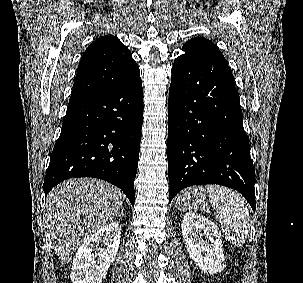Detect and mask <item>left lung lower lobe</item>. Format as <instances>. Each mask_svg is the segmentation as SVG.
Returning <instances> with one entry per match:
<instances>
[{"instance_id": "obj_1", "label": "left lung lower lobe", "mask_w": 303, "mask_h": 283, "mask_svg": "<svg viewBox=\"0 0 303 283\" xmlns=\"http://www.w3.org/2000/svg\"><path fill=\"white\" fill-rule=\"evenodd\" d=\"M239 94L222 54L181 55L169 90V202L192 185L240 192L255 211V170Z\"/></svg>"}]
</instances>
